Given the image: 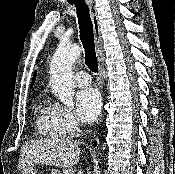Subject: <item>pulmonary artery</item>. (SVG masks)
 Returning <instances> with one entry per match:
<instances>
[{
	"label": "pulmonary artery",
	"mask_w": 175,
	"mask_h": 174,
	"mask_svg": "<svg viewBox=\"0 0 175 174\" xmlns=\"http://www.w3.org/2000/svg\"><path fill=\"white\" fill-rule=\"evenodd\" d=\"M74 81L79 86H88L91 83L89 74L85 71H79L74 75Z\"/></svg>",
	"instance_id": "obj_1"
}]
</instances>
